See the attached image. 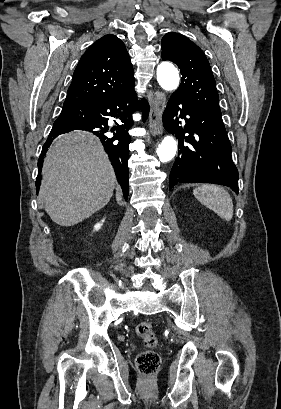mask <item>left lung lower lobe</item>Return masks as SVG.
<instances>
[{"label": "left lung lower lobe", "mask_w": 281, "mask_h": 409, "mask_svg": "<svg viewBox=\"0 0 281 409\" xmlns=\"http://www.w3.org/2000/svg\"><path fill=\"white\" fill-rule=\"evenodd\" d=\"M178 111L185 120L184 129L178 126L181 121L174 118ZM163 124L177 136L180 149L170 173L169 189L177 182H209L229 186L238 194V170L222 118L174 93L164 111Z\"/></svg>", "instance_id": "0a47b994"}]
</instances>
